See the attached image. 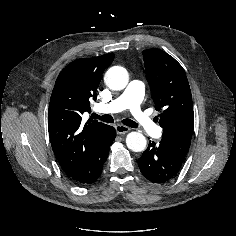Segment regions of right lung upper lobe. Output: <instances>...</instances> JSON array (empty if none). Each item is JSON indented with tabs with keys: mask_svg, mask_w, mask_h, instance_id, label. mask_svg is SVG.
Returning a JSON list of instances; mask_svg holds the SVG:
<instances>
[{
	"mask_svg": "<svg viewBox=\"0 0 236 236\" xmlns=\"http://www.w3.org/2000/svg\"><path fill=\"white\" fill-rule=\"evenodd\" d=\"M114 54L77 59L59 74L48 110V130L53 152L71 176L78 172L108 125L93 121L83 125L82 114L90 112V101L103 71L112 63Z\"/></svg>",
	"mask_w": 236,
	"mask_h": 236,
	"instance_id": "1",
	"label": "right lung upper lobe"
}]
</instances>
